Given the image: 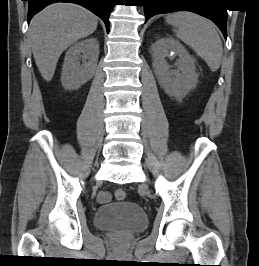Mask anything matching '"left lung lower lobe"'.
Wrapping results in <instances>:
<instances>
[{"label": "left lung lower lobe", "mask_w": 259, "mask_h": 266, "mask_svg": "<svg viewBox=\"0 0 259 266\" xmlns=\"http://www.w3.org/2000/svg\"><path fill=\"white\" fill-rule=\"evenodd\" d=\"M216 2V0H142L146 17L145 22L157 14L187 10L211 19L219 27L226 39L227 10L213 7Z\"/></svg>", "instance_id": "left-lung-lower-lobe-1"}]
</instances>
